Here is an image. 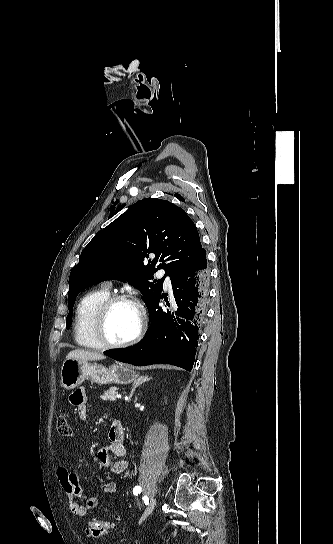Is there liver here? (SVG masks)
Segmentation results:
<instances>
[{
  "label": "liver",
  "mask_w": 333,
  "mask_h": 544,
  "mask_svg": "<svg viewBox=\"0 0 333 544\" xmlns=\"http://www.w3.org/2000/svg\"><path fill=\"white\" fill-rule=\"evenodd\" d=\"M105 358L106 357L100 353L83 350V349L72 350L66 356V360L76 359V360H82V361L103 360Z\"/></svg>",
  "instance_id": "6515ba94"
}]
</instances>
